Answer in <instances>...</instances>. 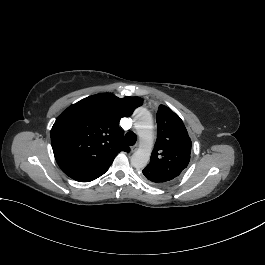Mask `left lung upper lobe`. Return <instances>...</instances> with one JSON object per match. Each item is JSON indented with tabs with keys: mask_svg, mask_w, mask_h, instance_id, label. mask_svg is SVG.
<instances>
[{
	"mask_svg": "<svg viewBox=\"0 0 265 265\" xmlns=\"http://www.w3.org/2000/svg\"><path fill=\"white\" fill-rule=\"evenodd\" d=\"M156 122L157 141L142 173L152 184L167 185L188 166L191 140L183 121L168 107L159 106Z\"/></svg>",
	"mask_w": 265,
	"mask_h": 265,
	"instance_id": "obj_1",
	"label": "left lung upper lobe"
}]
</instances>
